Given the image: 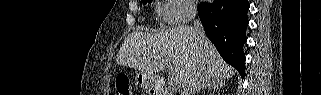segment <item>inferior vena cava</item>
I'll use <instances>...</instances> for the list:
<instances>
[{
    "mask_svg": "<svg viewBox=\"0 0 321 95\" xmlns=\"http://www.w3.org/2000/svg\"><path fill=\"white\" fill-rule=\"evenodd\" d=\"M189 15L191 19H193V30L195 32L196 39L198 41H201L205 34L200 20L195 19V17L197 16V8L195 6H191L189 8ZM204 80L205 76L203 69H198L188 77L183 86V90L181 91V95H193L201 82H203Z\"/></svg>",
    "mask_w": 321,
    "mask_h": 95,
    "instance_id": "1",
    "label": "inferior vena cava"
}]
</instances>
